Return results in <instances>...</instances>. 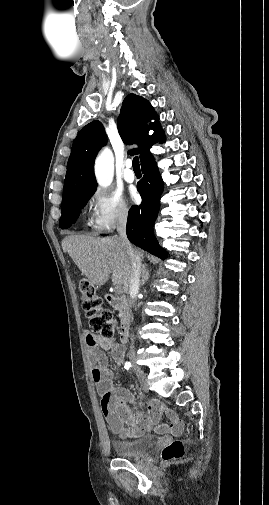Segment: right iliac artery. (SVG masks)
<instances>
[{
	"label": "right iliac artery",
	"mask_w": 269,
	"mask_h": 505,
	"mask_svg": "<svg viewBox=\"0 0 269 505\" xmlns=\"http://www.w3.org/2000/svg\"><path fill=\"white\" fill-rule=\"evenodd\" d=\"M124 368L125 369H130L131 368V363L130 362H125Z\"/></svg>",
	"instance_id": "right-iliac-artery-1"
}]
</instances>
